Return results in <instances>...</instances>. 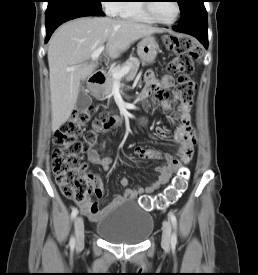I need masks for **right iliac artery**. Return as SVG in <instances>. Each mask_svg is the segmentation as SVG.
<instances>
[{"instance_id":"1","label":"right iliac artery","mask_w":258,"mask_h":275,"mask_svg":"<svg viewBox=\"0 0 258 275\" xmlns=\"http://www.w3.org/2000/svg\"><path fill=\"white\" fill-rule=\"evenodd\" d=\"M77 214H78V209L73 208L72 213H71V218L74 219ZM69 245H70L71 249H74V247H75V238L73 236L70 238Z\"/></svg>"}]
</instances>
